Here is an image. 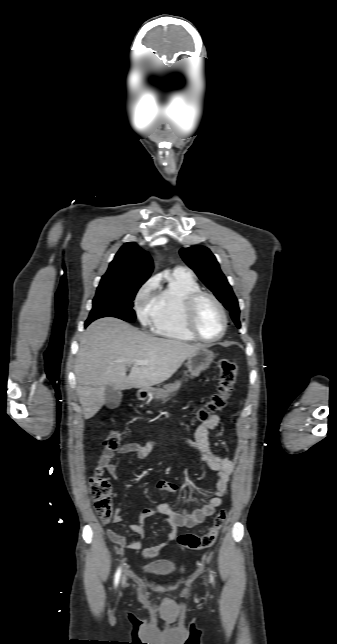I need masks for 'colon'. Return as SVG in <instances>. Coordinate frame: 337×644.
<instances>
[{"mask_svg":"<svg viewBox=\"0 0 337 644\" xmlns=\"http://www.w3.org/2000/svg\"><path fill=\"white\" fill-rule=\"evenodd\" d=\"M219 381L217 391L205 403L200 405L195 413L193 421L204 422L215 412L222 410L230 396L235 376L236 364L229 359H222L218 364ZM121 435L117 431L110 432L105 440L104 446L109 450H116L120 446ZM103 469L97 468L95 474L90 478V492L94 499L95 511L101 522L107 523L112 516L111 486L102 477ZM226 520V512L221 510L213 519L208 531L202 535L182 534L178 537L181 547L191 550H200L211 547L218 536L219 530Z\"/></svg>","mask_w":337,"mask_h":644,"instance_id":"obj_1","label":"colon"}]
</instances>
